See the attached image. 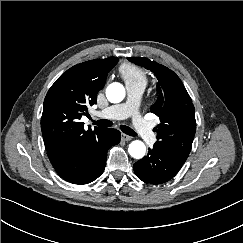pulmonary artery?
Segmentation results:
<instances>
[{
	"instance_id": "e3ab8cb5",
	"label": "pulmonary artery",
	"mask_w": 243,
	"mask_h": 243,
	"mask_svg": "<svg viewBox=\"0 0 243 243\" xmlns=\"http://www.w3.org/2000/svg\"><path fill=\"white\" fill-rule=\"evenodd\" d=\"M127 100L124 103L107 107L95 113L97 117L107 119H124L132 117V123L136 132L147 143L155 141V134L150 124L138 112L141 95L144 86L141 84H127Z\"/></svg>"
}]
</instances>
